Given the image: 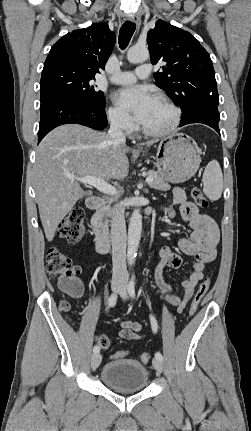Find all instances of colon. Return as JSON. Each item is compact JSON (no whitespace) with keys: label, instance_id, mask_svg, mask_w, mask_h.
Wrapping results in <instances>:
<instances>
[{"label":"colon","instance_id":"1","mask_svg":"<svg viewBox=\"0 0 251 431\" xmlns=\"http://www.w3.org/2000/svg\"><path fill=\"white\" fill-rule=\"evenodd\" d=\"M192 198L201 208H207L209 202L200 189L192 190ZM84 210L80 207L72 209L68 215L63 219L58 228V235L68 243H75L79 241L84 233ZM47 272L50 276L56 277L59 280L61 288L73 296H80L82 293V285L77 275L80 273V268L72 264L71 259L61 252L56 247H51L47 251ZM210 281L205 279L198 287L191 306L189 315L192 316L199 307L202 299L209 289ZM63 312L70 310V304L63 301L60 305ZM95 340L99 350H104L110 346V341L106 336H96ZM126 350L116 352L110 355V360L115 358H123L127 355ZM151 359L149 353H142L140 360L143 363H148Z\"/></svg>","mask_w":251,"mask_h":431}]
</instances>
